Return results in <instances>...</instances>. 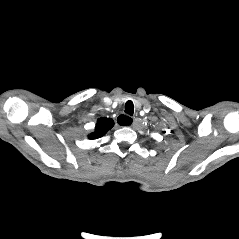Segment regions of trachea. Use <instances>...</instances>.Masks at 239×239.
<instances>
[{"instance_id": "obj_1", "label": "trachea", "mask_w": 239, "mask_h": 239, "mask_svg": "<svg viewBox=\"0 0 239 239\" xmlns=\"http://www.w3.org/2000/svg\"><path fill=\"white\" fill-rule=\"evenodd\" d=\"M125 113L130 116L134 114V104L131 100L127 101L125 104Z\"/></svg>"}]
</instances>
